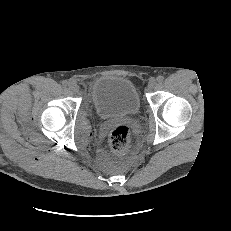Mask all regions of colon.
<instances>
[{
	"label": "colon",
	"mask_w": 231,
	"mask_h": 231,
	"mask_svg": "<svg viewBox=\"0 0 231 231\" xmlns=\"http://www.w3.org/2000/svg\"><path fill=\"white\" fill-rule=\"evenodd\" d=\"M130 144V130L129 127L120 124L113 127L109 133V145L115 152L125 151Z\"/></svg>",
	"instance_id": "colon-1"
}]
</instances>
